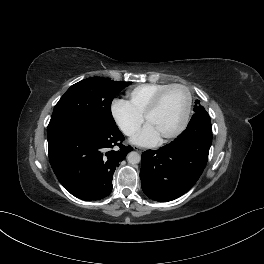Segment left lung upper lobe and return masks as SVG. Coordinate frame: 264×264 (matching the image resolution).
I'll use <instances>...</instances> for the list:
<instances>
[{"label":"left lung upper lobe","mask_w":264,"mask_h":264,"mask_svg":"<svg viewBox=\"0 0 264 264\" xmlns=\"http://www.w3.org/2000/svg\"><path fill=\"white\" fill-rule=\"evenodd\" d=\"M199 104H200V101H199V100H196L195 108H196V107H199V106H200ZM194 111H195V109H194Z\"/></svg>","instance_id":"5c2ea615"}]
</instances>
